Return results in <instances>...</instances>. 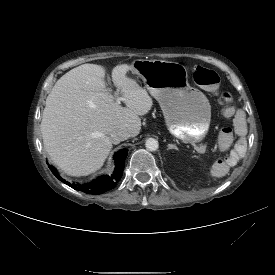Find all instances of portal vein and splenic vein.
<instances>
[{
    "instance_id": "1",
    "label": "portal vein and splenic vein",
    "mask_w": 275,
    "mask_h": 275,
    "mask_svg": "<svg viewBox=\"0 0 275 275\" xmlns=\"http://www.w3.org/2000/svg\"><path fill=\"white\" fill-rule=\"evenodd\" d=\"M115 95H117V93H115ZM120 101H123V98L117 96L116 102H117V103H120ZM205 150H206V146H204V147H199V148L197 149V151H198L199 153H204Z\"/></svg>"
}]
</instances>
